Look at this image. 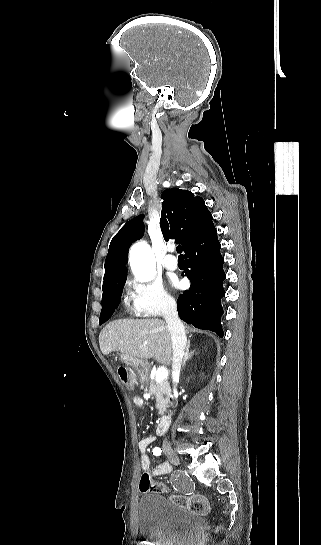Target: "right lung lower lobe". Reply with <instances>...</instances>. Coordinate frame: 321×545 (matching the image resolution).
Masks as SVG:
<instances>
[{
	"label": "right lung lower lobe",
	"mask_w": 321,
	"mask_h": 545,
	"mask_svg": "<svg viewBox=\"0 0 321 545\" xmlns=\"http://www.w3.org/2000/svg\"><path fill=\"white\" fill-rule=\"evenodd\" d=\"M220 248L214 224L187 246L184 251L187 269L182 275L189 278L191 286L179 296L177 310L179 317L185 322L199 329L216 332L222 337L221 298L225 295L222 284L226 275ZM120 296H111L107 300L108 319L117 308Z\"/></svg>",
	"instance_id": "obj_1"
}]
</instances>
